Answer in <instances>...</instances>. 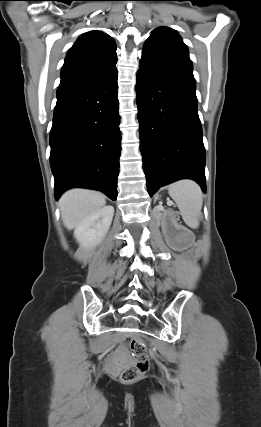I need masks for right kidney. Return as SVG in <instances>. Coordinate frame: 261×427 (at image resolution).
<instances>
[{
    "label": "right kidney",
    "mask_w": 261,
    "mask_h": 427,
    "mask_svg": "<svg viewBox=\"0 0 261 427\" xmlns=\"http://www.w3.org/2000/svg\"><path fill=\"white\" fill-rule=\"evenodd\" d=\"M113 215V206H104L89 216L74 230V237L77 242L83 247H92L99 244L110 228Z\"/></svg>",
    "instance_id": "ca27d5eb"
}]
</instances>
